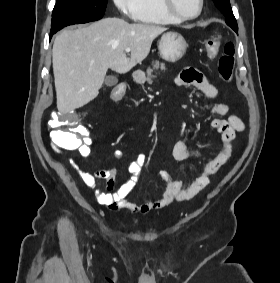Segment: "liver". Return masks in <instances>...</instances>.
I'll use <instances>...</instances> for the list:
<instances>
[{
  "label": "liver",
  "mask_w": 280,
  "mask_h": 283,
  "mask_svg": "<svg viewBox=\"0 0 280 283\" xmlns=\"http://www.w3.org/2000/svg\"><path fill=\"white\" fill-rule=\"evenodd\" d=\"M166 30L105 18L62 31L52 50L58 111L67 114L95 99L108 69L120 74L130 71L148 56L153 40ZM126 47L131 48V58L124 52Z\"/></svg>",
  "instance_id": "liver-1"
}]
</instances>
